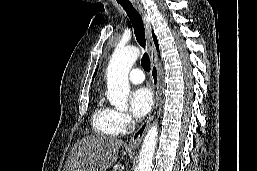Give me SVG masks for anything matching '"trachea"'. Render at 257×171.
Listing matches in <instances>:
<instances>
[{
  "mask_svg": "<svg viewBox=\"0 0 257 171\" xmlns=\"http://www.w3.org/2000/svg\"><path fill=\"white\" fill-rule=\"evenodd\" d=\"M120 5L126 11L128 17L133 25L137 42L139 43V45L142 48L145 49L146 40H145L143 21H142L140 14L136 11V9L133 7V5L131 3H120ZM141 64H142L143 69L146 72L150 71V59L146 52H144V54L142 56Z\"/></svg>",
  "mask_w": 257,
  "mask_h": 171,
  "instance_id": "3493384b",
  "label": "trachea"
}]
</instances>
